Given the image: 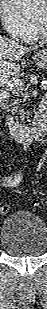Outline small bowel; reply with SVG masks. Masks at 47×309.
I'll return each mask as SVG.
<instances>
[{
	"label": "small bowel",
	"instance_id": "c3829d8e",
	"mask_svg": "<svg viewBox=\"0 0 47 309\" xmlns=\"http://www.w3.org/2000/svg\"><path fill=\"white\" fill-rule=\"evenodd\" d=\"M22 179V175L20 173H13L10 175H7L3 179V186L5 187H13L20 183Z\"/></svg>",
	"mask_w": 47,
	"mask_h": 309
}]
</instances>
